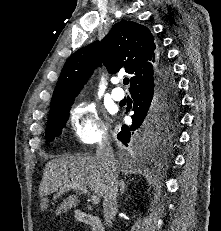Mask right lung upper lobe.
Listing matches in <instances>:
<instances>
[{"mask_svg":"<svg viewBox=\"0 0 221 231\" xmlns=\"http://www.w3.org/2000/svg\"><path fill=\"white\" fill-rule=\"evenodd\" d=\"M160 53L146 26L131 21L116 23L101 42H93L68 58L54 90L49 114L77 96L100 63L111 74L124 67L131 75L130 92L153 83L158 75Z\"/></svg>","mask_w":221,"mask_h":231,"instance_id":"cb5924a9","label":"right lung upper lobe"}]
</instances>
